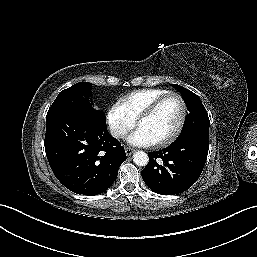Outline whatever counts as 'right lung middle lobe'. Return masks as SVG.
<instances>
[{"instance_id":"dd1d6c3e","label":"right lung middle lobe","mask_w":257,"mask_h":257,"mask_svg":"<svg viewBox=\"0 0 257 257\" xmlns=\"http://www.w3.org/2000/svg\"><path fill=\"white\" fill-rule=\"evenodd\" d=\"M90 88V83L79 82L61 91L51 105L47 115L66 109H76L87 112L102 124H106L104 112L93 108Z\"/></svg>"}]
</instances>
